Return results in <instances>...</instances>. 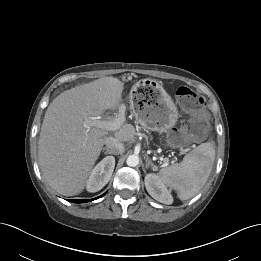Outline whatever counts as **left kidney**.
Returning <instances> with one entry per match:
<instances>
[{
    "mask_svg": "<svg viewBox=\"0 0 261 261\" xmlns=\"http://www.w3.org/2000/svg\"><path fill=\"white\" fill-rule=\"evenodd\" d=\"M145 186L148 193L155 200L168 205L172 204L173 198L159 176L154 173L147 174L145 176Z\"/></svg>",
    "mask_w": 261,
    "mask_h": 261,
    "instance_id": "obj_1",
    "label": "left kidney"
}]
</instances>
